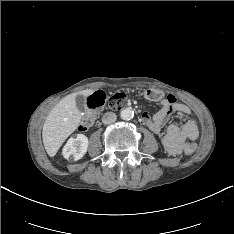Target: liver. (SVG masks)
<instances>
[{"label": "liver", "mask_w": 234, "mask_h": 234, "mask_svg": "<svg viewBox=\"0 0 234 234\" xmlns=\"http://www.w3.org/2000/svg\"><path fill=\"white\" fill-rule=\"evenodd\" d=\"M93 92V89H86L69 94L49 112L42 130L43 144L49 156L53 157L57 153L81 121V114L76 106V96L87 97Z\"/></svg>", "instance_id": "6515ba94"}]
</instances>
